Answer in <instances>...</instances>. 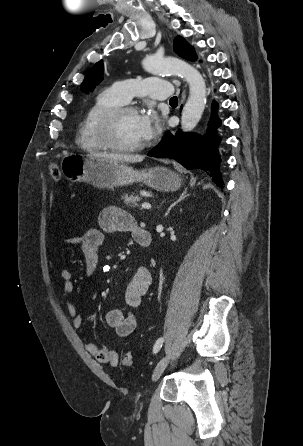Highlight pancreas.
Listing matches in <instances>:
<instances>
[{
	"mask_svg": "<svg viewBox=\"0 0 303 446\" xmlns=\"http://www.w3.org/2000/svg\"><path fill=\"white\" fill-rule=\"evenodd\" d=\"M122 199L124 200V203L126 205L135 208L136 206H138V202H140L141 197L134 194H124V196H122Z\"/></svg>",
	"mask_w": 303,
	"mask_h": 446,
	"instance_id": "1",
	"label": "pancreas"
}]
</instances>
